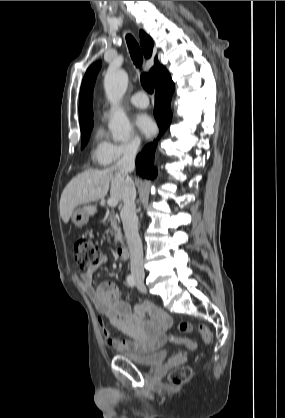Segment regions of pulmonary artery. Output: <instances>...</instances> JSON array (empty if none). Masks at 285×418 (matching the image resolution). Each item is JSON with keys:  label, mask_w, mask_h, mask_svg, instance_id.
<instances>
[{"label": "pulmonary artery", "mask_w": 285, "mask_h": 418, "mask_svg": "<svg viewBox=\"0 0 285 418\" xmlns=\"http://www.w3.org/2000/svg\"><path fill=\"white\" fill-rule=\"evenodd\" d=\"M130 103L136 107L139 108H145L149 104V100L147 96L143 92H138L131 96ZM109 114V111L106 110L103 114L104 117H107Z\"/></svg>", "instance_id": "pulmonary-artery-1"}]
</instances>
